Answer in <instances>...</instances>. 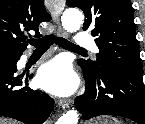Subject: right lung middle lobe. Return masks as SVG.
Wrapping results in <instances>:
<instances>
[{"mask_svg":"<svg viewBox=\"0 0 145 124\" xmlns=\"http://www.w3.org/2000/svg\"><path fill=\"white\" fill-rule=\"evenodd\" d=\"M12 56L11 54L0 52V57Z\"/></svg>","mask_w":145,"mask_h":124,"instance_id":"dd1d6c3e","label":"right lung middle lobe"}]
</instances>
